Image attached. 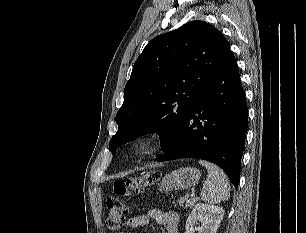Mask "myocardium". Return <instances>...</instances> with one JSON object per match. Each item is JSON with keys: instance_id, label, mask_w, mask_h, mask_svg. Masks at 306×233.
Segmentation results:
<instances>
[{"instance_id": "myocardium-1", "label": "myocardium", "mask_w": 306, "mask_h": 233, "mask_svg": "<svg viewBox=\"0 0 306 233\" xmlns=\"http://www.w3.org/2000/svg\"><path fill=\"white\" fill-rule=\"evenodd\" d=\"M163 133L157 128L140 131L132 140L130 150L138 157L156 154L163 145Z\"/></svg>"}]
</instances>
